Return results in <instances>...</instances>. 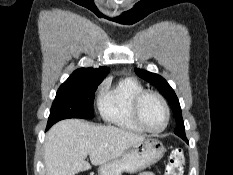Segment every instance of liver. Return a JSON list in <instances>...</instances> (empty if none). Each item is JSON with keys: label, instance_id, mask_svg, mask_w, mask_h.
Returning a JSON list of instances; mask_svg holds the SVG:
<instances>
[{"label": "liver", "instance_id": "6515ba94", "mask_svg": "<svg viewBox=\"0 0 233 175\" xmlns=\"http://www.w3.org/2000/svg\"><path fill=\"white\" fill-rule=\"evenodd\" d=\"M145 136L114 126H98L81 119L56 123L46 134V175H75L119 158Z\"/></svg>", "mask_w": 233, "mask_h": 175}]
</instances>
